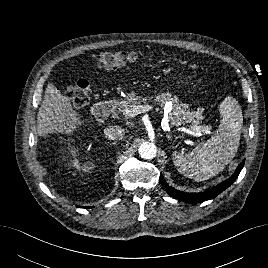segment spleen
Here are the masks:
<instances>
[{
  "instance_id": "spleen-1",
  "label": "spleen",
  "mask_w": 268,
  "mask_h": 268,
  "mask_svg": "<svg viewBox=\"0 0 268 268\" xmlns=\"http://www.w3.org/2000/svg\"><path fill=\"white\" fill-rule=\"evenodd\" d=\"M219 129L212 138L186 154L174 152L179 172L196 181H204L221 172L235 157L243 124L241 107L233 97H226L219 108Z\"/></svg>"
}]
</instances>
